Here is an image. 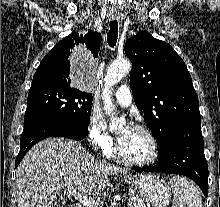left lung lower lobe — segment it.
Returning <instances> with one entry per match:
<instances>
[{
    "instance_id": "left-lung-lower-lobe-1",
    "label": "left lung lower lobe",
    "mask_w": 220,
    "mask_h": 207,
    "mask_svg": "<svg viewBox=\"0 0 220 207\" xmlns=\"http://www.w3.org/2000/svg\"><path fill=\"white\" fill-rule=\"evenodd\" d=\"M158 162L154 166L134 168L138 172L158 171L191 178L208 195V165L204 155L201 119L176 126L160 143Z\"/></svg>"
}]
</instances>
